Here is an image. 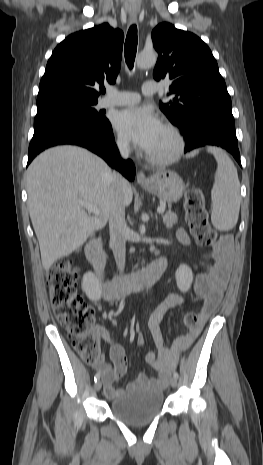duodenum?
Instances as JSON below:
<instances>
[{"instance_id":"1","label":"duodenum","mask_w":263,"mask_h":465,"mask_svg":"<svg viewBox=\"0 0 263 465\" xmlns=\"http://www.w3.org/2000/svg\"><path fill=\"white\" fill-rule=\"evenodd\" d=\"M87 259L93 265L98 278L103 283L105 295L120 298L131 291H136L155 283L165 270L167 261L160 257L145 269L126 275H119L110 280L106 279V256L100 240L89 242L85 248Z\"/></svg>"}]
</instances>
